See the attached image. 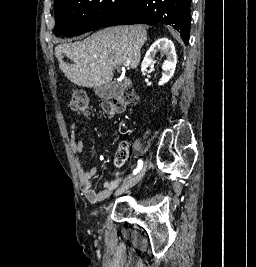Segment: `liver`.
<instances>
[{"label":"liver","instance_id":"1","mask_svg":"<svg viewBox=\"0 0 256 267\" xmlns=\"http://www.w3.org/2000/svg\"><path fill=\"white\" fill-rule=\"evenodd\" d=\"M147 34L142 24L137 26H114L92 34L83 42L60 44L55 48L59 68L76 86H103L113 78V70L121 64L137 68L140 52ZM74 64H67L63 58Z\"/></svg>","mask_w":256,"mask_h":267}]
</instances>
